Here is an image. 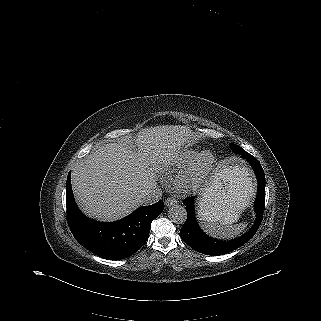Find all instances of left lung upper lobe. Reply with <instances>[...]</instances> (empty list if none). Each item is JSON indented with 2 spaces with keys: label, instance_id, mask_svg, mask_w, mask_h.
<instances>
[{
  "label": "left lung upper lobe",
  "instance_id": "left-lung-upper-lobe-1",
  "mask_svg": "<svg viewBox=\"0 0 321 321\" xmlns=\"http://www.w3.org/2000/svg\"><path fill=\"white\" fill-rule=\"evenodd\" d=\"M230 145V147H231V150L234 152V153H236V154H238L239 153V151H241V150H243L240 146H238V145H236V144H229Z\"/></svg>",
  "mask_w": 321,
  "mask_h": 321
}]
</instances>
